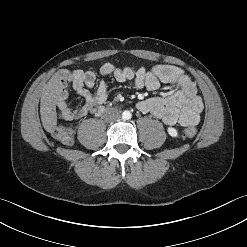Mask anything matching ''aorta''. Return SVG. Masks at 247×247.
<instances>
[{"mask_svg":"<svg viewBox=\"0 0 247 247\" xmlns=\"http://www.w3.org/2000/svg\"><path fill=\"white\" fill-rule=\"evenodd\" d=\"M131 117H132V114L130 113V111L125 110L122 113V119H124V120H129V119H131Z\"/></svg>","mask_w":247,"mask_h":247,"instance_id":"762f6f07","label":"aorta"}]
</instances>
